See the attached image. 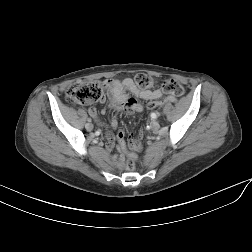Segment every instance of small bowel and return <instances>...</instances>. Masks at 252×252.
I'll return each instance as SVG.
<instances>
[{
  "label": "small bowel",
  "instance_id": "obj_1",
  "mask_svg": "<svg viewBox=\"0 0 252 252\" xmlns=\"http://www.w3.org/2000/svg\"><path fill=\"white\" fill-rule=\"evenodd\" d=\"M104 86L110 99L109 107L127 113H138L144 110L142 104L138 99L146 100L150 102H156L155 100L162 99V103L176 102L177 98L173 95H167L162 90L156 89H139L134 83L132 78H125L123 80L106 79L104 80ZM105 98L103 97L102 100ZM89 115L99 122V115L94 107H89ZM106 109L103 108L101 113H105ZM111 126L116 128L118 126V120L116 116H112L110 120ZM143 131L140 130L139 135L142 136ZM119 152L112 157V162L118 167H123V159L126 153V146L124 141V132L120 131L118 134ZM115 147V139L113 137L108 138L106 144V150L112 151ZM140 149V148H138ZM136 149V150H138Z\"/></svg>",
  "mask_w": 252,
  "mask_h": 252
}]
</instances>
